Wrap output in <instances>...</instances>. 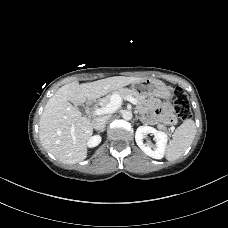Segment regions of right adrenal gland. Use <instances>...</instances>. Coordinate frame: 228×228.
<instances>
[{"label":"right adrenal gland","mask_w":228,"mask_h":228,"mask_svg":"<svg viewBox=\"0 0 228 228\" xmlns=\"http://www.w3.org/2000/svg\"><path fill=\"white\" fill-rule=\"evenodd\" d=\"M101 132H104V129L99 131V133H101Z\"/></svg>","instance_id":"obj_1"}]
</instances>
